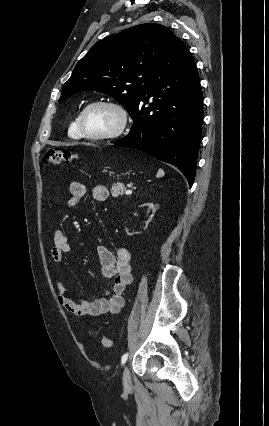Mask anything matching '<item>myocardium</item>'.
<instances>
[{
	"label": "myocardium",
	"mask_w": 269,
	"mask_h": 426,
	"mask_svg": "<svg viewBox=\"0 0 269 426\" xmlns=\"http://www.w3.org/2000/svg\"><path fill=\"white\" fill-rule=\"evenodd\" d=\"M96 106H105L108 108L113 109L117 115H118V124L117 126L109 132L102 133V134H94L90 133L86 126H85V115L88 112L89 109L96 107ZM129 124V115L127 110L119 103L111 100H94L90 103H88L80 112L78 117V126L81 132L82 137H85L87 139L96 140V141H108V140H114L123 135V133L126 131Z\"/></svg>",
	"instance_id": "1"
}]
</instances>
